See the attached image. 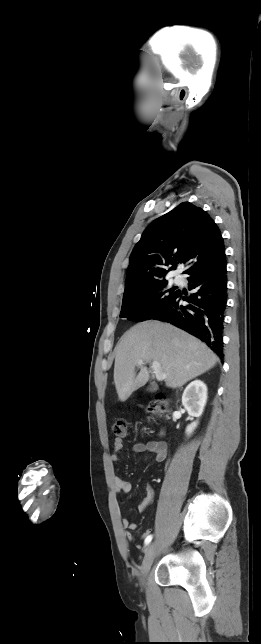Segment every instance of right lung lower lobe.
<instances>
[{"mask_svg":"<svg viewBox=\"0 0 261 644\" xmlns=\"http://www.w3.org/2000/svg\"><path fill=\"white\" fill-rule=\"evenodd\" d=\"M183 273L190 275L187 278L189 289H197V292L184 297L180 291L174 301L153 319L169 322L200 338L222 359L227 304L226 257L191 267ZM182 301L189 305H182Z\"/></svg>","mask_w":261,"mask_h":644,"instance_id":"1","label":"right lung lower lobe"}]
</instances>
